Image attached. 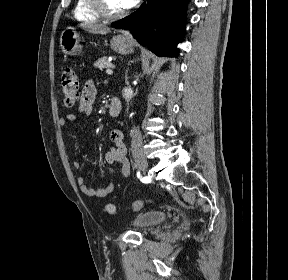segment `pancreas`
Returning a JSON list of instances; mask_svg holds the SVG:
<instances>
[{
	"label": "pancreas",
	"mask_w": 288,
	"mask_h": 280,
	"mask_svg": "<svg viewBox=\"0 0 288 280\" xmlns=\"http://www.w3.org/2000/svg\"><path fill=\"white\" fill-rule=\"evenodd\" d=\"M94 66L97 67L98 69L102 70L105 67H110L112 64L110 61L107 59V57H101L94 63Z\"/></svg>",
	"instance_id": "obj_1"
}]
</instances>
